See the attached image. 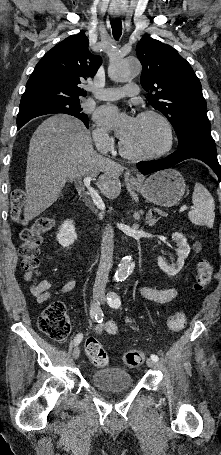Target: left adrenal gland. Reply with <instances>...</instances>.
Segmentation results:
<instances>
[{"label": "left adrenal gland", "mask_w": 221, "mask_h": 455, "mask_svg": "<svg viewBox=\"0 0 221 455\" xmlns=\"http://www.w3.org/2000/svg\"><path fill=\"white\" fill-rule=\"evenodd\" d=\"M146 220L149 226H154L158 222L159 218L156 219L153 217L152 210H149L146 216Z\"/></svg>", "instance_id": "1"}]
</instances>
